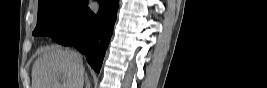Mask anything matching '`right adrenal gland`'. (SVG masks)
<instances>
[{
	"label": "right adrenal gland",
	"instance_id": "1",
	"mask_svg": "<svg viewBox=\"0 0 267 88\" xmlns=\"http://www.w3.org/2000/svg\"><path fill=\"white\" fill-rule=\"evenodd\" d=\"M85 84H86V88H90V81H89V77L87 75V73H85Z\"/></svg>",
	"mask_w": 267,
	"mask_h": 88
}]
</instances>
